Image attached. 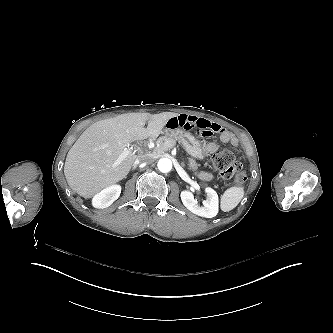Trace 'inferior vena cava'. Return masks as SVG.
I'll return each mask as SVG.
<instances>
[{
	"mask_svg": "<svg viewBox=\"0 0 333 333\" xmlns=\"http://www.w3.org/2000/svg\"><path fill=\"white\" fill-rule=\"evenodd\" d=\"M153 162V158L149 157V156H144V157H141L139 159H137L135 162H134V167H137L139 164L141 163H146V164H150Z\"/></svg>",
	"mask_w": 333,
	"mask_h": 333,
	"instance_id": "inferior-vena-cava-1",
	"label": "inferior vena cava"
}]
</instances>
